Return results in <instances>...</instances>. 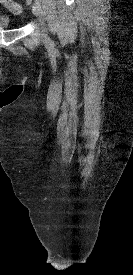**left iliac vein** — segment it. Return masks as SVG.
Segmentation results:
<instances>
[{
    "instance_id": "left-iliac-vein-1",
    "label": "left iliac vein",
    "mask_w": 133,
    "mask_h": 275,
    "mask_svg": "<svg viewBox=\"0 0 133 275\" xmlns=\"http://www.w3.org/2000/svg\"><path fill=\"white\" fill-rule=\"evenodd\" d=\"M32 11L35 16L41 17V13H42L41 4L35 1L32 6ZM45 39L47 40V38Z\"/></svg>"
}]
</instances>
